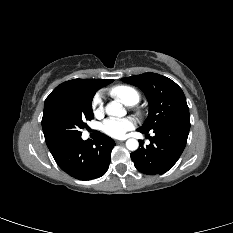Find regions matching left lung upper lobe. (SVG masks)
I'll return each mask as SVG.
<instances>
[{"label":"left lung upper lobe","mask_w":233,"mask_h":233,"mask_svg":"<svg viewBox=\"0 0 233 233\" xmlns=\"http://www.w3.org/2000/svg\"><path fill=\"white\" fill-rule=\"evenodd\" d=\"M121 80L140 88L149 102V115L138 130L149 132L164 123L190 118L185 95L171 79L156 73H144Z\"/></svg>","instance_id":"left-lung-upper-lobe-1"}]
</instances>
